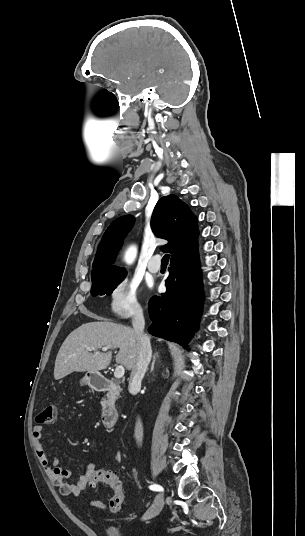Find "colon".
<instances>
[{
    "mask_svg": "<svg viewBox=\"0 0 305 536\" xmlns=\"http://www.w3.org/2000/svg\"><path fill=\"white\" fill-rule=\"evenodd\" d=\"M58 412V406L56 404H50L45 407L43 411H37L35 414L36 423L42 424L49 423L56 418ZM92 478L86 483L88 490H93L95 486H111L112 496L109 501V509L113 512H118L124 502V491L122 483L119 480L118 475L112 474L109 476L110 471L108 468L95 467L91 471Z\"/></svg>",
    "mask_w": 305,
    "mask_h": 536,
    "instance_id": "colon-1",
    "label": "colon"
}]
</instances>
